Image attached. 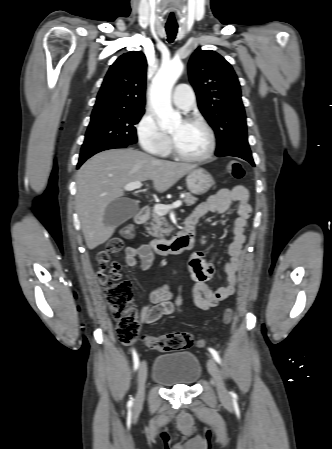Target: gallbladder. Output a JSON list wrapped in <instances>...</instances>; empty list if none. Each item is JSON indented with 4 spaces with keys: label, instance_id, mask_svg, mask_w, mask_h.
Returning a JSON list of instances; mask_svg holds the SVG:
<instances>
[{
    "label": "gallbladder",
    "instance_id": "obj_1",
    "mask_svg": "<svg viewBox=\"0 0 332 449\" xmlns=\"http://www.w3.org/2000/svg\"><path fill=\"white\" fill-rule=\"evenodd\" d=\"M139 210L138 203L130 198H118L105 209L104 224L119 226L132 218Z\"/></svg>",
    "mask_w": 332,
    "mask_h": 449
}]
</instances>
